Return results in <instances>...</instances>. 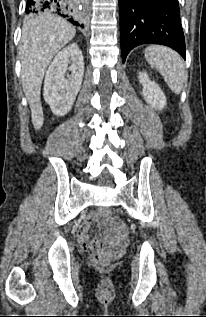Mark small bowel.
Instances as JSON below:
<instances>
[{"label":"small bowel","mask_w":206,"mask_h":317,"mask_svg":"<svg viewBox=\"0 0 206 317\" xmlns=\"http://www.w3.org/2000/svg\"><path fill=\"white\" fill-rule=\"evenodd\" d=\"M99 219V215L95 212H91L89 214L88 220L78 227V236L83 245L90 241L88 230L90 227V223L97 221ZM105 234L110 239H117L118 241H124L127 237V229L122 224L119 227H116L115 230H106Z\"/></svg>","instance_id":"obj_1"}]
</instances>
